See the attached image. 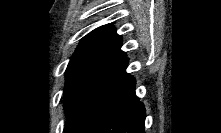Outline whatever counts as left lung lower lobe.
Instances as JSON below:
<instances>
[{
  "instance_id": "obj_1",
  "label": "left lung lower lobe",
  "mask_w": 221,
  "mask_h": 133,
  "mask_svg": "<svg viewBox=\"0 0 221 133\" xmlns=\"http://www.w3.org/2000/svg\"><path fill=\"white\" fill-rule=\"evenodd\" d=\"M124 57L91 82L67 112L65 133H144L145 108Z\"/></svg>"
}]
</instances>
